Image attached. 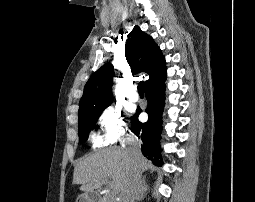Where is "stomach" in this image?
Segmentation results:
<instances>
[{"mask_svg":"<svg viewBox=\"0 0 255 202\" xmlns=\"http://www.w3.org/2000/svg\"><path fill=\"white\" fill-rule=\"evenodd\" d=\"M76 202H94V199L92 195L84 193L77 197Z\"/></svg>","mask_w":255,"mask_h":202,"instance_id":"0dacf381","label":"stomach"}]
</instances>
